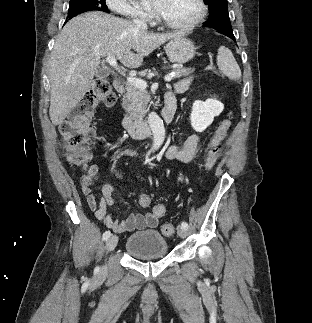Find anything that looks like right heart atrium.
Wrapping results in <instances>:
<instances>
[{"label": "right heart atrium", "mask_w": 312, "mask_h": 323, "mask_svg": "<svg viewBox=\"0 0 312 323\" xmlns=\"http://www.w3.org/2000/svg\"><path fill=\"white\" fill-rule=\"evenodd\" d=\"M109 5L111 13H121V17H127L128 22H140L141 17H147V10H142V6H136L135 2L126 0H105Z\"/></svg>", "instance_id": "right-heart-atrium-1"}]
</instances>
